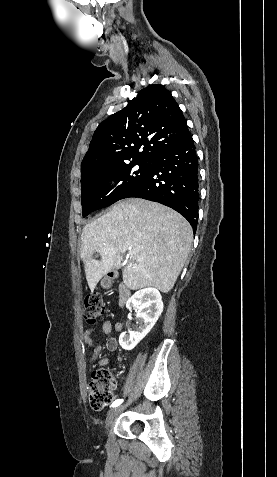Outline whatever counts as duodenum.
I'll return each instance as SVG.
<instances>
[{"instance_id":"1","label":"duodenum","mask_w":277,"mask_h":477,"mask_svg":"<svg viewBox=\"0 0 277 477\" xmlns=\"http://www.w3.org/2000/svg\"><path fill=\"white\" fill-rule=\"evenodd\" d=\"M110 277L113 278L115 276V273L114 272H111L110 274ZM131 296V291L130 289L128 288V286L124 283H122L120 286H119V289H118V304L120 307H123L127 301L129 300Z\"/></svg>"}]
</instances>
